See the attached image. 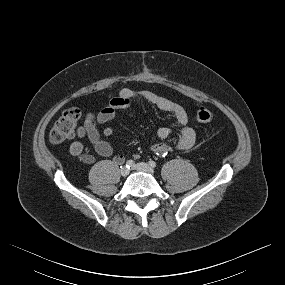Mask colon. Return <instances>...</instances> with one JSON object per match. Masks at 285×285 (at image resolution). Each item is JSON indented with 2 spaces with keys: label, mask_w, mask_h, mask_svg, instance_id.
Masks as SVG:
<instances>
[{
  "label": "colon",
  "mask_w": 285,
  "mask_h": 285,
  "mask_svg": "<svg viewBox=\"0 0 285 285\" xmlns=\"http://www.w3.org/2000/svg\"><path fill=\"white\" fill-rule=\"evenodd\" d=\"M82 119V114L77 108H69L54 123L49 133V139L53 144H60L76 134L77 126ZM195 119L199 123H208L213 119V113L207 108L201 107L195 113Z\"/></svg>",
  "instance_id": "obj_1"
}]
</instances>
